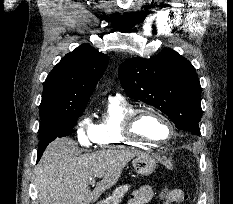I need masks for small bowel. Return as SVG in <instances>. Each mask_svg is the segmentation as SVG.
I'll return each instance as SVG.
<instances>
[{
    "instance_id": "small-bowel-1",
    "label": "small bowel",
    "mask_w": 233,
    "mask_h": 204,
    "mask_svg": "<svg viewBox=\"0 0 233 204\" xmlns=\"http://www.w3.org/2000/svg\"><path fill=\"white\" fill-rule=\"evenodd\" d=\"M176 192L179 195V200L177 204H180L186 199V195L180 189H176ZM152 197H153L152 189L149 186H141L132 193L128 201V204H146L152 199Z\"/></svg>"
}]
</instances>
